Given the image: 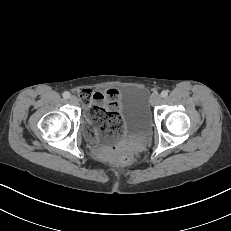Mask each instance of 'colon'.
Instances as JSON below:
<instances>
[{"label":"colon","instance_id":"5ec220e1","mask_svg":"<svg viewBox=\"0 0 231 231\" xmlns=\"http://www.w3.org/2000/svg\"><path fill=\"white\" fill-rule=\"evenodd\" d=\"M108 100L112 105L117 104L118 93L115 90L108 92ZM101 95H92L84 93L81 96L83 104L88 107L87 118L96 126L99 135L103 138H112L116 136L122 129L123 119L117 111H108L104 109L99 101L102 100ZM110 152L115 161L119 164H128L130 159L126 152L118 146L110 147Z\"/></svg>","mask_w":231,"mask_h":231}]
</instances>
